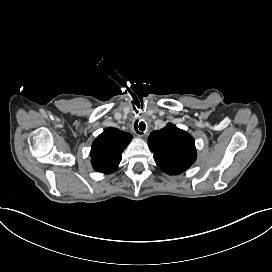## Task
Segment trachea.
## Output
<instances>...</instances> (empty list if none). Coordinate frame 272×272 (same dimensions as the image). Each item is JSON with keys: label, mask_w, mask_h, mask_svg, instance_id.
<instances>
[{"label": "trachea", "mask_w": 272, "mask_h": 272, "mask_svg": "<svg viewBox=\"0 0 272 272\" xmlns=\"http://www.w3.org/2000/svg\"><path fill=\"white\" fill-rule=\"evenodd\" d=\"M137 124H138V121H136L135 126H137ZM135 129L139 134H142L141 132H143L146 129V125L144 122H140L139 123V130L137 128H135Z\"/></svg>", "instance_id": "3493384b"}]
</instances>
